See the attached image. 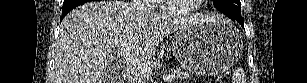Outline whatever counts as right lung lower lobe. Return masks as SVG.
Here are the masks:
<instances>
[{"instance_id": "98d812e1", "label": "right lung lower lobe", "mask_w": 307, "mask_h": 83, "mask_svg": "<svg viewBox=\"0 0 307 83\" xmlns=\"http://www.w3.org/2000/svg\"><path fill=\"white\" fill-rule=\"evenodd\" d=\"M86 2H88V0H64L61 20L73 8Z\"/></svg>"}]
</instances>
